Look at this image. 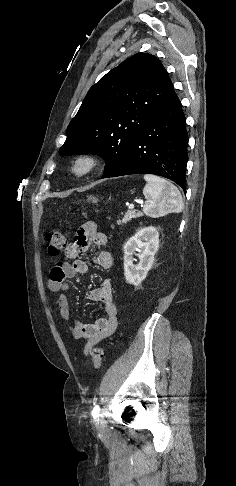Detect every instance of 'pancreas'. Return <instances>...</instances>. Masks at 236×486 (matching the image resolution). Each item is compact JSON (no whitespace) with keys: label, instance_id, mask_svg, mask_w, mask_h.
I'll return each instance as SVG.
<instances>
[{"label":"pancreas","instance_id":"obj_1","mask_svg":"<svg viewBox=\"0 0 236 486\" xmlns=\"http://www.w3.org/2000/svg\"><path fill=\"white\" fill-rule=\"evenodd\" d=\"M142 214L140 212H135L133 210L128 211L125 213L124 217L122 220H118L117 223L118 225L126 224L129 221H131L133 218L140 217Z\"/></svg>","mask_w":236,"mask_h":486}]
</instances>
